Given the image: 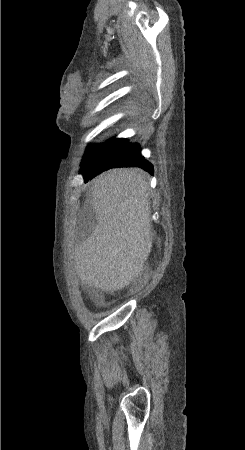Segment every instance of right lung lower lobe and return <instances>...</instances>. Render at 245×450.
I'll list each match as a JSON object with an SVG mask.
<instances>
[{
	"mask_svg": "<svg viewBox=\"0 0 245 450\" xmlns=\"http://www.w3.org/2000/svg\"><path fill=\"white\" fill-rule=\"evenodd\" d=\"M140 149L135 148L127 144L124 148L106 154L102 160L93 168L81 172L83 174L85 182L94 178L101 172L113 167H140L145 171L153 174V166L150 162L146 161L140 153Z\"/></svg>",
	"mask_w": 245,
	"mask_h": 450,
	"instance_id": "1",
	"label": "right lung lower lobe"
}]
</instances>
